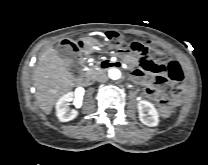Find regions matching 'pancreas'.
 <instances>
[{
  "instance_id": "cf45deb5",
  "label": "pancreas",
  "mask_w": 208,
  "mask_h": 165,
  "mask_svg": "<svg viewBox=\"0 0 208 165\" xmlns=\"http://www.w3.org/2000/svg\"><path fill=\"white\" fill-rule=\"evenodd\" d=\"M88 75H95L96 74V70H94V69H89V70H87V72H86Z\"/></svg>"
}]
</instances>
